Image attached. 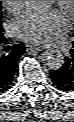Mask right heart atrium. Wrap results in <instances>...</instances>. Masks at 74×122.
Wrapping results in <instances>:
<instances>
[{"label": "right heart atrium", "mask_w": 74, "mask_h": 122, "mask_svg": "<svg viewBox=\"0 0 74 122\" xmlns=\"http://www.w3.org/2000/svg\"><path fill=\"white\" fill-rule=\"evenodd\" d=\"M9 14H15L21 9V1H2Z\"/></svg>", "instance_id": "1"}]
</instances>
